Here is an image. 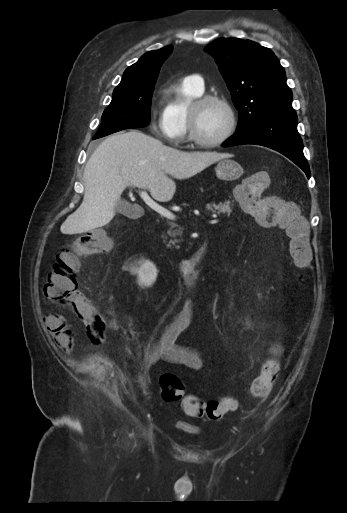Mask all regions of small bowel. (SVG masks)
I'll list each match as a JSON object with an SVG mask.
<instances>
[{"instance_id": "obj_1", "label": "small bowel", "mask_w": 347, "mask_h": 513, "mask_svg": "<svg viewBox=\"0 0 347 513\" xmlns=\"http://www.w3.org/2000/svg\"><path fill=\"white\" fill-rule=\"evenodd\" d=\"M193 314L192 301L186 299L183 310L168 324L159 341L143 346L144 360L148 365L166 361L192 370L202 369L204 362L200 354L192 348L177 344L179 335L188 327ZM45 323L57 347L61 351L72 352L74 334L65 320L59 315H48Z\"/></svg>"}]
</instances>
